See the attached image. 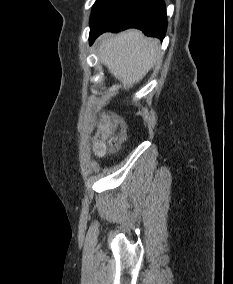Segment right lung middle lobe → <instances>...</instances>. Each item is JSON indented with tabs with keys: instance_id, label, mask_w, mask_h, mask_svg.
I'll use <instances>...</instances> for the list:
<instances>
[{
	"instance_id": "1",
	"label": "right lung middle lobe",
	"mask_w": 233,
	"mask_h": 284,
	"mask_svg": "<svg viewBox=\"0 0 233 284\" xmlns=\"http://www.w3.org/2000/svg\"><path fill=\"white\" fill-rule=\"evenodd\" d=\"M111 1L112 0H96L90 17V25L97 19V17L104 11Z\"/></svg>"
}]
</instances>
